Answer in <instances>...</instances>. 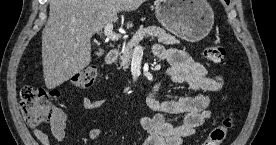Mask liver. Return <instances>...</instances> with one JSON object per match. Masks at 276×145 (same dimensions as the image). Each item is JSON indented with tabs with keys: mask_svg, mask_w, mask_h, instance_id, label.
Listing matches in <instances>:
<instances>
[{
	"mask_svg": "<svg viewBox=\"0 0 276 145\" xmlns=\"http://www.w3.org/2000/svg\"><path fill=\"white\" fill-rule=\"evenodd\" d=\"M145 0H50L42 32L45 85L53 89L79 73L91 61V38L121 11H134ZM128 28L133 26L127 23Z\"/></svg>",
	"mask_w": 276,
	"mask_h": 145,
	"instance_id": "liver-1",
	"label": "liver"
}]
</instances>
